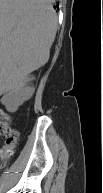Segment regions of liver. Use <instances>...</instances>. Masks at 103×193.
<instances>
[{"label":"liver","instance_id":"obj_1","mask_svg":"<svg viewBox=\"0 0 103 193\" xmlns=\"http://www.w3.org/2000/svg\"><path fill=\"white\" fill-rule=\"evenodd\" d=\"M2 8L3 11L6 13H9L12 11H15V13H19L21 11H24L28 13V16H30V19L32 22L37 23L36 20L39 21L38 16L35 17L33 12L35 10H39L41 8L42 3L38 1H2ZM47 16H50V13L48 11ZM29 18V17H26ZM41 18V17H40ZM42 32V35L40 38L34 39V43L32 45L30 44V48H26L22 54L16 55L15 61L18 65L17 69L19 71H27L31 70L33 68H36L40 63H42L45 58L47 57V47L49 45V40H51V32H47V29ZM30 32V39L31 42V35L33 32L35 33L36 30L29 29ZM33 40V39H32Z\"/></svg>","mask_w":103,"mask_h":193}]
</instances>
